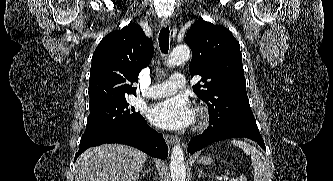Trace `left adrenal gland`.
<instances>
[{"instance_id": "left-adrenal-gland-1", "label": "left adrenal gland", "mask_w": 333, "mask_h": 181, "mask_svg": "<svg viewBox=\"0 0 333 181\" xmlns=\"http://www.w3.org/2000/svg\"><path fill=\"white\" fill-rule=\"evenodd\" d=\"M198 178H200V176H207L204 172H203V170H198Z\"/></svg>"}]
</instances>
